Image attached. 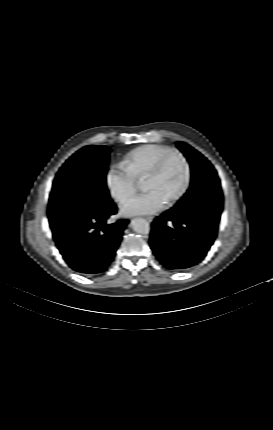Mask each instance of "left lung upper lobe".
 Returning a JSON list of instances; mask_svg holds the SVG:
<instances>
[{
  "label": "left lung upper lobe",
  "instance_id": "left-lung-upper-lobe-1",
  "mask_svg": "<svg viewBox=\"0 0 273 430\" xmlns=\"http://www.w3.org/2000/svg\"><path fill=\"white\" fill-rule=\"evenodd\" d=\"M176 144L186 156L192 170L191 185L183 197H190L204 189L221 191L220 180L211 163L188 144L183 142H176Z\"/></svg>",
  "mask_w": 273,
  "mask_h": 430
}]
</instances>
